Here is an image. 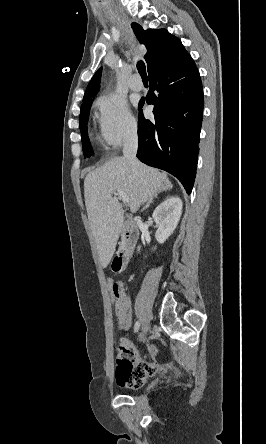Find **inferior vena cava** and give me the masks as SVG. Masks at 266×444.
Returning <instances> with one entry per match:
<instances>
[{"instance_id": "obj_1", "label": "inferior vena cava", "mask_w": 266, "mask_h": 444, "mask_svg": "<svg viewBox=\"0 0 266 444\" xmlns=\"http://www.w3.org/2000/svg\"><path fill=\"white\" fill-rule=\"evenodd\" d=\"M138 149V135L137 129L131 130L127 135L124 145H123V155L124 158L131 164V167L135 173L138 172L139 161L137 160L136 154Z\"/></svg>"}]
</instances>
